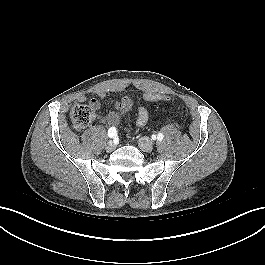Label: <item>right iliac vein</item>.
Wrapping results in <instances>:
<instances>
[{"instance_id":"63e3f726","label":"right iliac vein","mask_w":265,"mask_h":265,"mask_svg":"<svg viewBox=\"0 0 265 265\" xmlns=\"http://www.w3.org/2000/svg\"><path fill=\"white\" fill-rule=\"evenodd\" d=\"M116 149V144L112 141H109L106 146H105V150L107 152H113Z\"/></svg>"}]
</instances>
